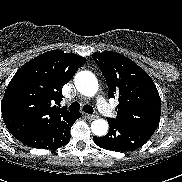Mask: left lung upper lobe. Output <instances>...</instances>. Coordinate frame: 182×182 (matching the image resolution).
I'll list each match as a JSON object with an SVG mask.
<instances>
[{"label": "left lung upper lobe", "instance_id": "1", "mask_svg": "<svg viewBox=\"0 0 182 182\" xmlns=\"http://www.w3.org/2000/svg\"><path fill=\"white\" fill-rule=\"evenodd\" d=\"M92 58L105 77L109 98L119 101L117 117L108 120L156 130L161 101L151 77L135 62L116 52H96Z\"/></svg>", "mask_w": 182, "mask_h": 182}]
</instances>
